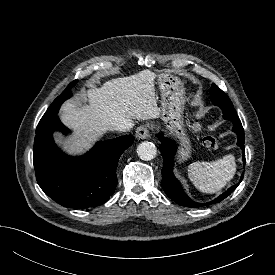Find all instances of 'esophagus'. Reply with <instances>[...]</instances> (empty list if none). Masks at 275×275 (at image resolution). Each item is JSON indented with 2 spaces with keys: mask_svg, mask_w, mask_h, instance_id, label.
<instances>
[{
  "mask_svg": "<svg viewBox=\"0 0 275 275\" xmlns=\"http://www.w3.org/2000/svg\"><path fill=\"white\" fill-rule=\"evenodd\" d=\"M149 136V127L148 125H142L136 130V137L139 139H146Z\"/></svg>",
  "mask_w": 275,
  "mask_h": 275,
  "instance_id": "1",
  "label": "esophagus"
}]
</instances>
